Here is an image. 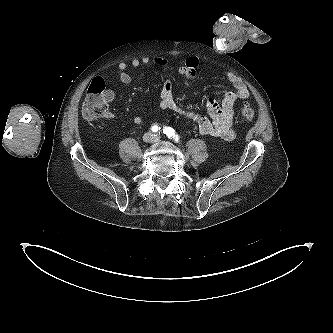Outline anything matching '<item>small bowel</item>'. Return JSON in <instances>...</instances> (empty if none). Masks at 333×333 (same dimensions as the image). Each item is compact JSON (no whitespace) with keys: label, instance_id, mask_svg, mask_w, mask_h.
Returning <instances> with one entry per match:
<instances>
[{"label":"small bowel","instance_id":"1","mask_svg":"<svg viewBox=\"0 0 333 333\" xmlns=\"http://www.w3.org/2000/svg\"><path fill=\"white\" fill-rule=\"evenodd\" d=\"M150 63L165 66L168 63V60L162 57H142L134 58L128 63L121 62L118 65V76L120 82L124 85H129L132 82V77L128 73V69H137ZM198 67V58L189 57L181 66L178 67V72L186 77H194L197 74ZM224 76L233 86V90L225 93L220 104L213 99L206 100L205 108L210 118L182 107L175 99L171 83L169 81H165L162 86L158 105L159 109L171 110L187 117L196 123L200 133L203 135L218 137L224 140L234 139L235 132L233 130V117L235 102L238 99L248 98L249 91L245 83L236 75L230 72H224ZM104 96L107 103H110L115 100L116 93L112 89H107ZM113 117V113L107 112L104 118L112 119ZM143 120V117L140 115L135 116L133 119L135 124H141Z\"/></svg>","mask_w":333,"mask_h":333}]
</instances>
